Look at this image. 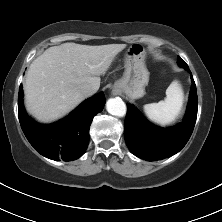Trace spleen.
Segmentation results:
<instances>
[{
    "instance_id": "3e777b00",
    "label": "spleen",
    "mask_w": 222,
    "mask_h": 222,
    "mask_svg": "<svg viewBox=\"0 0 222 222\" xmlns=\"http://www.w3.org/2000/svg\"><path fill=\"white\" fill-rule=\"evenodd\" d=\"M184 102L183 90L178 81H173L166 90V98L158 103L144 105L146 116L161 126L173 123L181 113Z\"/></svg>"
}]
</instances>
